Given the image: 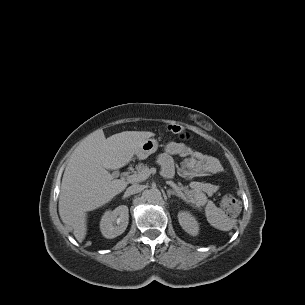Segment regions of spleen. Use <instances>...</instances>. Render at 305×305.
Segmentation results:
<instances>
[{"mask_svg":"<svg viewBox=\"0 0 305 305\" xmlns=\"http://www.w3.org/2000/svg\"><path fill=\"white\" fill-rule=\"evenodd\" d=\"M214 213H219L221 214L222 212L220 210H214ZM218 227L222 230H226L227 228H225L224 224H218Z\"/></svg>","mask_w":305,"mask_h":305,"instance_id":"spleen-1","label":"spleen"}]
</instances>
